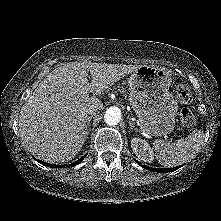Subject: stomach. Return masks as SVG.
<instances>
[{
  "instance_id": "0dacf381",
  "label": "stomach",
  "mask_w": 221,
  "mask_h": 221,
  "mask_svg": "<svg viewBox=\"0 0 221 221\" xmlns=\"http://www.w3.org/2000/svg\"><path fill=\"white\" fill-rule=\"evenodd\" d=\"M171 73L163 67L141 65L128 80L129 102L138 116L140 129L152 136L172 132L178 110L169 92Z\"/></svg>"
}]
</instances>
